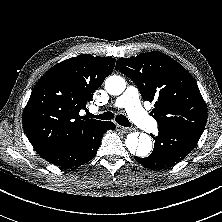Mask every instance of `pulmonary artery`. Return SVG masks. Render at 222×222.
Returning <instances> with one entry per match:
<instances>
[{"label": "pulmonary artery", "mask_w": 222, "mask_h": 222, "mask_svg": "<svg viewBox=\"0 0 222 222\" xmlns=\"http://www.w3.org/2000/svg\"><path fill=\"white\" fill-rule=\"evenodd\" d=\"M116 106L125 108L130 119L139 128L145 131H155L157 129V122L155 119L149 116L140 105L137 88L129 86L117 99ZM93 111H97V108H94Z\"/></svg>", "instance_id": "pulmonary-artery-1"}]
</instances>
